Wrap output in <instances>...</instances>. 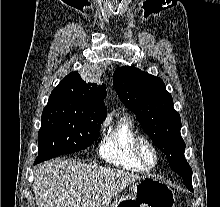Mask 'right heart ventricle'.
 I'll list each match as a JSON object with an SVG mask.
<instances>
[{
    "mask_svg": "<svg viewBox=\"0 0 220 207\" xmlns=\"http://www.w3.org/2000/svg\"><path fill=\"white\" fill-rule=\"evenodd\" d=\"M137 131L128 117L120 118L104 134L99 155L106 162L132 171H143L146 168L136 159L133 152V141Z\"/></svg>",
    "mask_w": 220,
    "mask_h": 207,
    "instance_id": "e07e8e85",
    "label": "right heart ventricle"
}]
</instances>
